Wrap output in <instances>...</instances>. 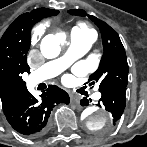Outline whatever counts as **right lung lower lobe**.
<instances>
[{"label":"right lung lower lobe","instance_id":"98d812e1","mask_svg":"<svg viewBox=\"0 0 147 147\" xmlns=\"http://www.w3.org/2000/svg\"><path fill=\"white\" fill-rule=\"evenodd\" d=\"M40 97L38 100L29 93L22 101L3 110L14 130L30 137L40 136L48 128V118L55 104L70 102L68 94L55 85H50Z\"/></svg>","mask_w":147,"mask_h":147}]
</instances>
